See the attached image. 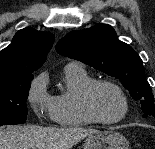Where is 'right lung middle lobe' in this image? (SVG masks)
Masks as SVG:
<instances>
[{
    "mask_svg": "<svg viewBox=\"0 0 155 149\" xmlns=\"http://www.w3.org/2000/svg\"><path fill=\"white\" fill-rule=\"evenodd\" d=\"M32 79V74L0 78V126L25 123Z\"/></svg>",
    "mask_w": 155,
    "mask_h": 149,
    "instance_id": "dd1d6c3e",
    "label": "right lung middle lobe"
}]
</instances>
